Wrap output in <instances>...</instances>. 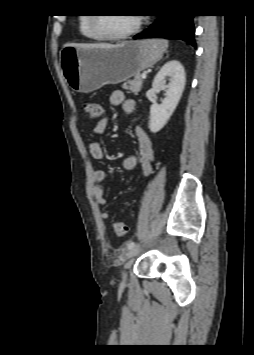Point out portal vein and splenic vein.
Masks as SVG:
<instances>
[{
    "instance_id": "portal-vein-and-splenic-vein-1",
    "label": "portal vein and splenic vein",
    "mask_w": 254,
    "mask_h": 355,
    "mask_svg": "<svg viewBox=\"0 0 254 355\" xmlns=\"http://www.w3.org/2000/svg\"><path fill=\"white\" fill-rule=\"evenodd\" d=\"M143 79H145L146 78V74L144 73V74H142V76H141Z\"/></svg>"
}]
</instances>
